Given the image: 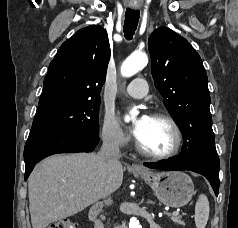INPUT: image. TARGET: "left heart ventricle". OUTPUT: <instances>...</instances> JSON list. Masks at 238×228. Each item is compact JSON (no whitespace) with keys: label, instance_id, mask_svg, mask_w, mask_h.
Returning a JSON list of instances; mask_svg holds the SVG:
<instances>
[{"label":"left heart ventricle","instance_id":"1","mask_svg":"<svg viewBox=\"0 0 238 228\" xmlns=\"http://www.w3.org/2000/svg\"><path fill=\"white\" fill-rule=\"evenodd\" d=\"M138 140L145 150L164 153L174 144V132L167 121L150 117Z\"/></svg>","mask_w":238,"mask_h":228}]
</instances>
